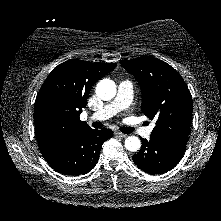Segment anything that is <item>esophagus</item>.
<instances>
[{
    "label": "esophagus",
    "instance_id": "1",
    "mask_svg": "<svg viewBox=\"0 0 221 221\" xmlns=\"http://www.w3.org/2000/svg\"><path fill=\"white\" fill-rule=\"evenodd\" d=\"M114 134H115L116 136H118V137H122V138H124V137L127 136V134H124V133L119 132V131H115Z\"/></svg>",
    "mask_w": 221,
    "mask_h": 221
}]
</instances>
